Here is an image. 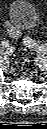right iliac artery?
<instances>
[{"mask_svg": "<svg viewBox=\"0 0 47 129\" xmlns=\"http://www.w3.org/2000/svg\"><path fill=\"white\" fill-rule=\"evenodd\" d=\"M1 45H6V46H9V43L7 42V41H3L2 43H1Z\"/></svg>", "mask_w": 47, "mask_h": 129, "instance_id": "right-iliac-artery-1", "label": "right iliac artery"}]
</instances>
